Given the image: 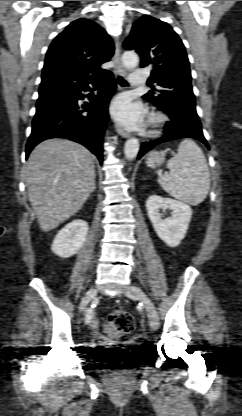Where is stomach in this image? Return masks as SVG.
<instances>
[{"mask_svg":"<svg viewBox=\"0 0 242 416\" xmlns=\"http://www.w3.org/2000/svg\"><path fill=\"white\" fill-rule=\"evenodd\" d=\"M164 161V155L158 151H152L147 156V162L149 164L160 165Z\"/></svg>","mask_w":242,"mask_h":416,"instance_id":"1","label":"stomach"}]
</instances>
